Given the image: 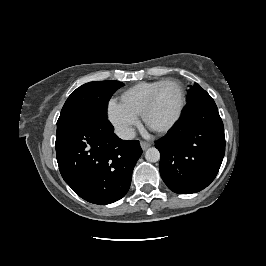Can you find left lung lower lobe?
<instances>
[{
	"label": "left lung lower lobe",
	"instance_id": "0a47b994",
	"mask_svg": "<svg viewBox=\"0 0 266 266\" xmlns=\"http://www.w3.org/2000/svg\"><path fill=\"white\" fill-rule=\"evenodd\" d=\"M155 147L161 155V177L170 190L191 194L206 188L225 154L224 126L213 98L206 93L190 101Z\"/></svg>",
	"mask_w": 266,
	"mask_h": 266
}]
</instances>
